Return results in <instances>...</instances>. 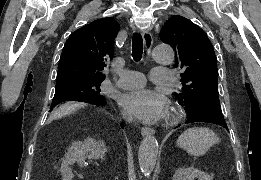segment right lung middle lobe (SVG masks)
<instances>
[{"label": "right lung middle lobe", "mask_w": 261, "mask_h": 180, "mask_svg": "<svg viewBox=\"0 0 261 180\" xmlns=\"http://www.w3.org/2000/svg\"><path fill=\"white\" fill-rule=\"evenodd\" d=\"M101 82L97 80H70L56 83L51 108L65 101H81L90 104L105 101L104 96L100 94Z\"/></svg>", "instance_id": "1"}]
</instances>
